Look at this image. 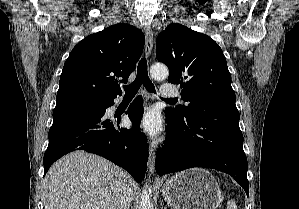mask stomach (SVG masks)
Here are the masks:
<instances>
[{"label": "stomach", "instance_id": "0dacf381", "mask_svg": "<svg viewBox=\"0 0 299 209\" xmlns=\"http://www.w3.org/2000/svg\"><path fill=\"white\" fill-rule=\"evenodd\" d=\"M161 191L173 209H216L222 200L217 181L202 168L177 173L161 186Z\"/></svg>", "mask_w": 299, "mask_h": 209}]
</instances>
